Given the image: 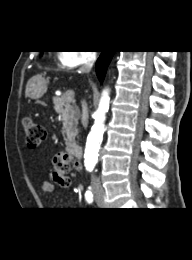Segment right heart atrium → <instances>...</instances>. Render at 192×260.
<instances>
[{"label":"right heart atrium","mask_w":192,"mask_h":260,"mask_svg":"<svg viewBox=\"0 0 192 260\" xmlns=\"http://www.w3.org/2000/svg\"><path fill=\"white\" fill-rule=\"evenodd\" d=\"M92 59V54L86 51H62L58 54V60L62 67L73 69L87 64Z\"/></svg>","instance_id":"1"}]
</instances>
